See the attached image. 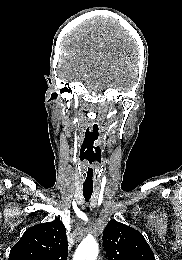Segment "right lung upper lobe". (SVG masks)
Here are the masks:
<instances>
[{"label":"right lung upper lobe","instance_id":"obj_1","mask_svg":"<svg viewBox=\"0 0 182 260\" xmlns=\"http://www.w3.org/2000/svg\"><path fill=\"white\" fill-rule=\"evenodd\" d=\"M66 229L60 219L28 228L8 260H67Z\"/></svg>","mask_w":182,"mask_h":260}]
</instances>
